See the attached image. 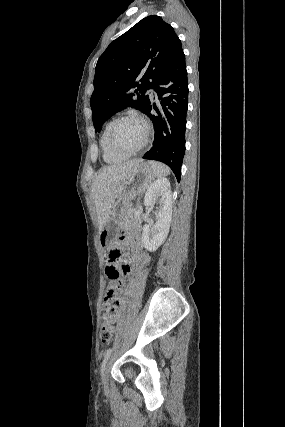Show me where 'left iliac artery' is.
Instances as JSON below:
<instances>
[{
    "label": "left iliac artery",
    "mask_w": 285,
    "mask_h": 427,
    "mask_svg": "<svg viewBox=\"0 0 285 427\" xmlns=\"http://www.w3.org/2000/svg\"><path fill=\"white\" fill-rule=\"evenodd\" d=\"M112 348H110V349H108L105 353H104V360H103V362H102V366H101V375H102V378H103V371H104V368H105V365H106V362H107V360H108V358L110 357V355H111V353H112Z\"/></svg>",
    "instance_id": "44dca946"
}]
</instances>
